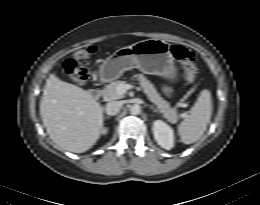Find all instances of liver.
<instances>
[{
	"label": "liver",
	"mask_w": 260,
	"mask_h": 205,
	"mask_svg": "<svg viewBox=\"0 0 260 205\" xmlns=\"http://www.w3.org/2000/svg\"><path fill=\"white\" fill-rule=\"evenodd\" d=\"M40 115L46 131L62 150L83 153L99 139L103 108L89 91L51 74L43 89Z\"/></svg>",
	"instance_id": "liver-1"
}]
</instances>
